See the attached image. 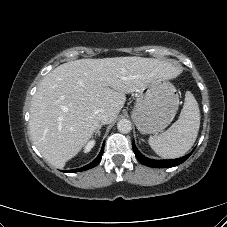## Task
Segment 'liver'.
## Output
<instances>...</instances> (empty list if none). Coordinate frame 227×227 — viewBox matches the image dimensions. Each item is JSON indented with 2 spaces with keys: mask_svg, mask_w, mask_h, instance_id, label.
Instances as JSON below:
<instances>
[{
  "mask_svg": "<svg viewBox=\"0 0 227 227\" xmlns=\"http://www.w3.org/2000/svg\"><path fill=\"white\" fill-rule=\"evenodd\" d=\"M177 74L168 62L135 56L64 63L43 78L33 96L29 127L34 145L53 166L63 168L99 127L102 109L113 111L115 119L126 94Z\"/></svg>",
  "mask_w": 227,
  "mask_h": 227,
  "instance_id": "6515ba94",
  "label": "liver"
}]
</instances>
